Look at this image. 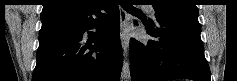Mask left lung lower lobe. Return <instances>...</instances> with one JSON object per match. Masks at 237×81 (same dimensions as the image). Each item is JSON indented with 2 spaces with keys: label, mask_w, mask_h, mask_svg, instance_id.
I'll list each match as a JSON object with an SVG mask.
<instances>
[{
  "label": "left lung lower lobe",
  "mask_w": 237,
  "mask_h": 81,
  "mask_svg": "<svg viewBox=\"0 0 237 81\" xmlns=\"http://www.w3.org/2000/svg\"><path fill=\"white\" fill-rule=\"evenodd\" d=\"M150 23L145 22L147 33L156 39L130 40L132 81H211L198 20L166 18L157 19L156 26Z\"/></svg>",
  "instance_id": "0a47b994"
}]
</instances>
